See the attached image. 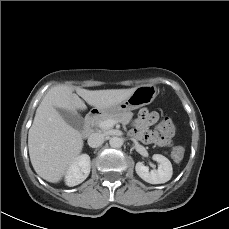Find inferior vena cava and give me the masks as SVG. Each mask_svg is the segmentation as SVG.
I'll list each match as a JSON object with an SVG mask.
<instances>
[{"instance_id":"602c4592","label":"inferior vena cava","mask_w":229,"mask_h":229,"mask_svg":"<svg viewBox=\"0 0 229 229\" xmlns=\"http://www.w3.org/2000/svg\"><path fill=\"white\" fill-rule=\"evenodd\" d=\"M104 143V135L102 133H92L88 138V145L92 148L101 146Z\"/></svg>"}]
</instances>
